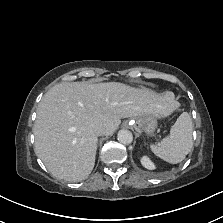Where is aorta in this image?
Wrapping results in <instances>:
<instances>
[{
	"label": "aorta",
	"mask_w": 223,
	"mask_h": 223,
	"mask_svg": "<svg viewBox=\"0 0 223 223\" xmlns=\"http://www.w3.org/2000/svg\"><path fill=\"white\" fill-rule=\"evenodd\" d=\"M117 139L121 144L128 145L133 141V135L129 130H120Z\"/></svg>",
	"instance_id": "1"
}]
</instances>
